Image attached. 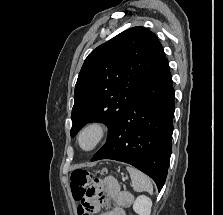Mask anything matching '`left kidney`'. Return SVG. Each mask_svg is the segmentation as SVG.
<instances>
[{
	"instance_id": "obj_1",
	"label": "left kidney",
	"mask_w": 223,
	"mask_h": 215,
	"mask_svg": "<svg viewBox=\"0 0 223 215\" xmlns=\"http://www.w3.org/2000/svg\"><path fill=\"white\" fill-rule=\"evenodd\" d=\"M152 201L147 195H138L133 203V209L139 215H150Z\"/></svg>"
}]
</instances>
